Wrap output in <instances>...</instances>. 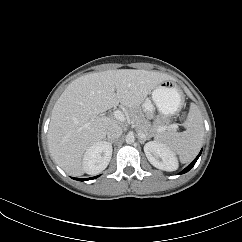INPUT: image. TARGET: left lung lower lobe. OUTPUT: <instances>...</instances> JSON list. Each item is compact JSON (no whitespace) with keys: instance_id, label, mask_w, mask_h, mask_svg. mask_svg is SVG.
Listing matches in <instances>:
<instances>
[{"instance_id":"0a47b994","label":"left lung lower lobe","mask_w":242,"mask_h":242,"mask_svg":"<svg viewBox=\"0 0 242 242\" xmlns=\"http://www.w3.org/2000/svg\"><path fill=\"white\" fill-rule=\"evenodd\" d=\"M202 152V151H201ZM201 152L199 153V155L195 158V160L188 166L186 167L180 174L186 173L188 172L196 163L197 159L199 158Z\"/></svg>"}]
</instances>
